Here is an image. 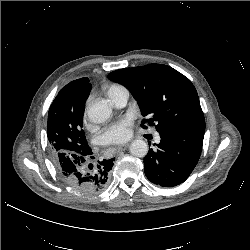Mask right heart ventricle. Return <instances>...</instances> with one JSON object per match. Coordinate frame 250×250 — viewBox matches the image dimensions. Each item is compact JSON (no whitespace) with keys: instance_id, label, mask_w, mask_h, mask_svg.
<instances>
[{"instance_id":"e07e8e85","label":"right heart ventricle","mask_w":250,"mask_h":250,"mask_svg":"<svg viewBox=\"0 0 250 250\" xmlns=\"http://www.w3.org/2000/svg\"><path fill=\"white\" fill-rule=\"evenodd\" d=\"M123 89H124V88H123L122 86L114 84V85H111V86L108 88L107 93H108V95L110 96V95H112V94H114V93H116V92H118V91H120V90H123Z\"/></svg>"}]
</instances>
